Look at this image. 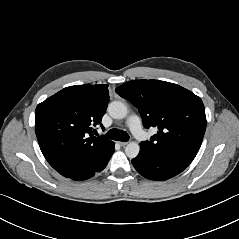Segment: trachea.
<instances>
[{"mask_svg":"<svg viewBox=\"0 0 239 239\" xmlns=\"http://www.w3.org/2000/svg\"><path fill=\"white\" fill-rule=\"evenodd\" d=\"M106 137L112 140L127 142L129 140V135L122 130L111 129L107 132Z\"/></svg>","mask_w":239,"mask_h":239,"instance_id":"3493384b","label":"trachea"}]
</instances>
